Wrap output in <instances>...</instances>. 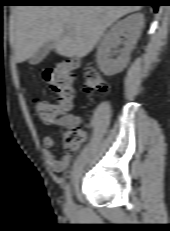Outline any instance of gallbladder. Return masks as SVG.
I'll return each instance as SVG.
<instances>
[{
	"mask_svg": "<svg viewBox=\"0 0 170 231\" xmlns=\"http://www.w3.org/2000/svg\"><path fill=\"white\" fill-rule=\"evenodd\" d=\"M53 47H54L53 41H48L44 43L30 58L29 63L31 65L39 64L49 54V52L53 49Z\"/></svg>",
	"mask_w": 170,
	"mask_h": 231,
	"instance_id": "obj_1",
	"label": "gallbladder"
}]
</instances>
